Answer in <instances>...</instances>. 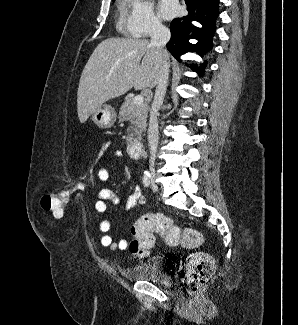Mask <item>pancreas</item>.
<instances>
[{
	"instance_id": "pancreas-1",
	"label": "pancreas",
	"mask_w": 298,
	"mask_h": 325,
	"mask_svg": "<svg viewBox=\"0 0 298 325\" xmlns=\"http://www.w3.org/2000/svg\"><path fill=\"white\" fill-rule=\"evenodd\" d=\"M148 110L149 102H143V104L137 106V104H133V96H126L122 106H120L118 118L119 122L130 120L131 124H133V126L127 128V144L134 138H141V134L146 130Z\"/></svg>"
}]
</instances>
